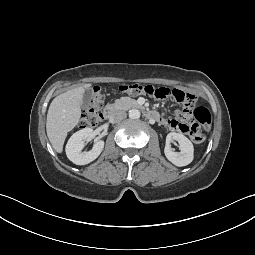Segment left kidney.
<instances>
[{
    "mask_svg": "<svg viewBox=\"0 0 255 255\" xmlns=\"http://www.w3.org/2000/svg\"><path fill=\"white\" fill-rule=\"evenodd\" d=\"M177 141L179 143L180 152H175L171 148V143ZM166 158L178 167L186 166L193 161L194 147L192 142L183 134L171 132L166 137V145L164 148Z\"/></svg>",
    "mask_w": 255,
    "mask_h": 255,
    "instance_id": "obj_1",
    "label": "left kidney"
}]
</instances>
